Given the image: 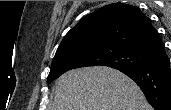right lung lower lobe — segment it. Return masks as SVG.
I'll return each instance as SVG.
<instances>
[{"label":"right lung lower lobe","instance_id":"right-lung-lower-lobe-1","mask_svg":"<svg viewBox=\"0 0 171 110\" xmlns=\"http://www.w3.org/2000/svg\"><path fill=\"white\" fill-rule=\"evenodd\" d=\"M118 70L138 84L155 110H171V69L165 46L153 52L146 64Z\"/></svg>","mask_w":171,"mask_h":110}]
</instances>
